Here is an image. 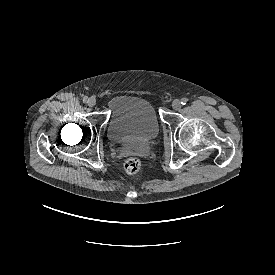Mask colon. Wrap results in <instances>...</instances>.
I'll list each match as a JSON object with an SVG mask.
<instances>
[{
	"mask_svg": "<svg viewBox=\"0 0 275 275\" xmlns=\"http://www.w3.org/2000/svg\"><path fill=\"white\" fill-rule=\"evenodd\" d=\"M140 166L141 162L136 156H131L124 162V169L130 175L136 174L139 171Z\"/></svg>",
	"mask_w": 275,
	"mask_h": 275,
	"instance_id": "colon-1",
	"label": "colon"
}]
</instances>
